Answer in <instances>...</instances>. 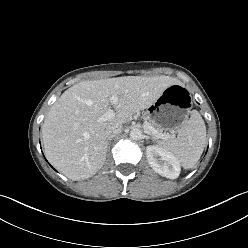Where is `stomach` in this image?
Masks as SVG:
<instances>
[{"mask_svg":"<svg viewBox=\"0 0 248 248\" xmlns=\"http://www.w3.org/2000/svg\"><path fill=\"white\" fill-rule=\"evenodd\" d=\"M190 109L189 92L183 85L174 84L147 108L146 118L164 131L177 132L187 123Z\"/></svg>","mask_w":248,"mask_h":248,"instance_id":"1","label":"stomach"}]
</instances>
